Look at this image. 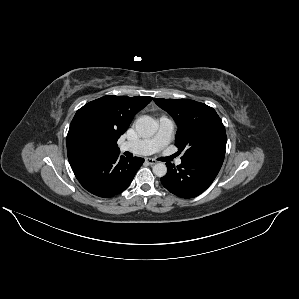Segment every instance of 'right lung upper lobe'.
Wrapping results in <instances>:
<instances>
[{
	"instance_id": "right-lung-upper-lobe-1",
	"label": "right lung upper lobe",
	"mask_w": 299,
	"mask_h": 299,
	"mask_svg": "<svg viewBox=\"0 0 299 299\" xmlns=\"http://www.w3.org/2000/svg\"><path fill=\"white\" fill-rule=\"evenodd\" d=\"M152 97L103 96L80 108L67 134L69 162L97 154L119 153L117 140Z\"/></svg>"
}]
</instances>
